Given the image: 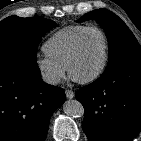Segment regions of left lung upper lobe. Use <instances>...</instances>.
Here are the masks:
<instances>
[{"mask_svg":"<svg viewBox=\"0 0 141 141\" xmlns=\"http://www.w3.org/2000/svg\"><path fill=\"white\" fill-rule=\"evenodd\" d=\"M95 19L104 29L109 43V60L104 73L131 63H141V48L130 29L107 9L91 11L78 22Z\"/></svg>","mask_w":141,"mask_h":141,"instance_id":"obj_1","label":"left lung upper lobe"}]
</instances>
